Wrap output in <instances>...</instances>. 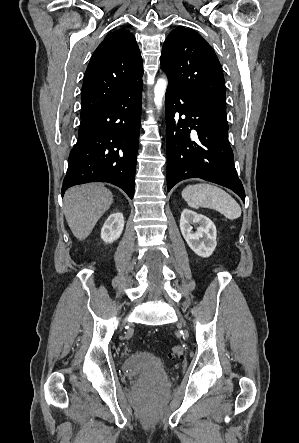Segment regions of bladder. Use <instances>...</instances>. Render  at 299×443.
<instances>
[{
  "label": "bladder",
  "instance_id": "1",
  "mask_svg": "<svg viewBox=\"0 0 299 443\" xmlns=\"http://www.w3.org/2000/svg\"><path fill=\"white\" fill-rule=\"evenodd\" d=\"M126 375L136 376L152 382L164 381L167 373L159 359L148 352H134L122 363Z\"/></svg>",
  "mask_w": 299,
  "mask_h": 443
}]
</instances>
